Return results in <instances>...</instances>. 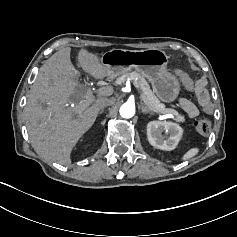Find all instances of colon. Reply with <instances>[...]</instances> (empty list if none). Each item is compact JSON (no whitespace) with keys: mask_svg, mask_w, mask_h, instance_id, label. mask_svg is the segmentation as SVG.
Instances as JSON below:
<instances>
[{"mask_svg":"<svg viewBox=\"0 0 237 237\" xmlns=\"http://www.w3.org/2000/svg\"><path fill=\"white\" fill-rule=\"evenodd\" d=\"M177 75L179 76L181 82L184 84V86L188 90L195 91V84L187 73L181 70H178ZM202 105L204 109L211 108L210 101L205 96L202 97ZM194 127L196 131L201 135H207L211 131V123L209 120H206V119H200V120L195 121Z\"/></svg>","mask_w":237,"mask_h":237,"instance_id":"obj_1","label":"colon"}]
</instances>
